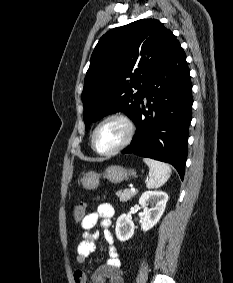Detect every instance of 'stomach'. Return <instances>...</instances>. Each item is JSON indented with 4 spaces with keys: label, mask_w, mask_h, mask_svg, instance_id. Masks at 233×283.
<instances>
[{
    "label": "stomach",
    "mask_w": 233,
    "mask_h": 283,
    "mask_svg": "<svg viewBox=\"0 0 233 283\" xmlns=\"http://www.w3.org/2000/svg\"><path fill=\"white\" fill-rule=\"evenodd\" d=\"M136 172L133 169H125L122 166L112 165L106 168L103 177L112 183H120L126 180L129 176H134ZM101 174L94 171H89L83 175L81 183L86 189H96L100 183Z\"/></svg>",
    "instance_id": "obj_1"
}]
</instances>
